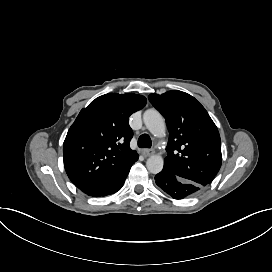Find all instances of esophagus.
I'll return each instance as SVG.
<instances>
[{
  "label": "esophagus",
  "mask_w": 272,
  "mask_h": 272,
  "mask_svg": "<svg viewBox=\"0 0 272 272\" xmlns=\"http://www.w3.org/2000/svg\"><path fill=\"white\" fill-rule=\"evenodd\" d=\"M141 153L144 156L148 157V156H151V155L155 154V151L153 149H142Z\"/></svg>",
  "instance_id": "34e87169"
}]
</instances>
